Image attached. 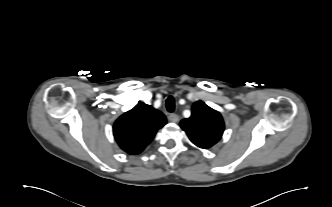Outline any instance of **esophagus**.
<instances>
[{
	"mask_svg": "<svg viewBox=\"0 0 332 207\" xmlns=\"http://www.w3.org/2000/svg\"><path fill=\"white\" fill-rule=\"evenodd\" d=\"M168 119L173 123H177L179 121V116L177 114H170Z\"/></svg>",
	"mask_w": 332,
	"mask_h": 207,
	"instance_id": "esophagus-1",
	"label": "esophagus"
}]
</instances>
